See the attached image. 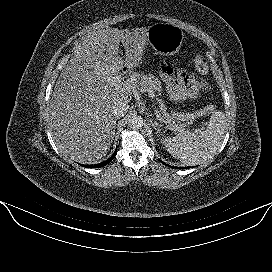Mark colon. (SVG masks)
I'll return each mask as SVG.
<instances>
[{
  "mask_svg": "<svg viewBox=\"0 0 272 272\" xmlns=\"http://www.w3.org/2000/svg\"><path fill=\"white\" fill-rule=\"evenodd\" d=\"M196 69L202 73L205 74L208 70L207 64L201 55H197L194 60ZM216 109V106L214 105H208L205 106L199 110L195 111H184L182 110L178 105H175L172 108V116L173 118L178 122H191L195 119L207 116L211 113H213Z\"/></svg>",
  "mask_w": 272,
  "mask_h": 272,
  "instance_id": "obj_1",
  "label": "colon"
}]
</instances>
